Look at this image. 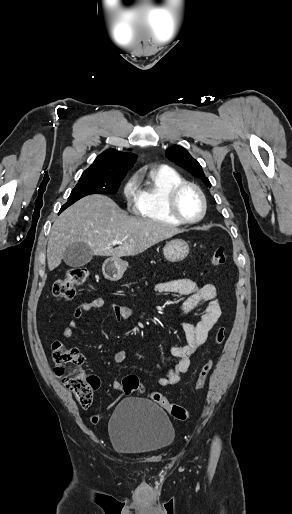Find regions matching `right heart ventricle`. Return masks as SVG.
Masks as SVG:
<instances>
[{
  "instance_id": "1",
  "label": "right heart ventricle",
  "mask_w": 292,
  "mask_h": 514,
  "mask_svg": "<svg viewBox=\"0 0 292 514\" xmlns=\"http://www.w3.org/2000/svg\"><path fill=\"white\" fill-rule=\"evenodd\" d=\"M180 182H182L181 176L173 170L154 169L150 171L147 180L139 187L137 199L132 206V213L162 224L178 225L165 209L164 196L169 188Z\"/></svg>"
}]
</instances>
